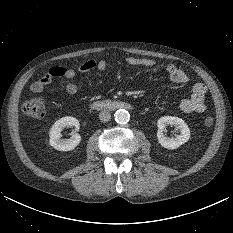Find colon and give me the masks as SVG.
Returning a JSON list of instances; mask_svg holds the SVG:
<instances>
[{
	"instance_id": "1",
	"label": "colon",
	"mask_w": 233,
	"mask_h": 233,
	"mask_svg": "<svg viewBox=\"0 0 233 233\" xmlns=\"http://www.w3.org/2000/svg\"><path fill=\"white\" fill-rule=\"evenodd\" d=\"M21 111L23 116L40 118L45 112V102L42 97L34 96L23 103ZM213 122L214 119L212 116H206L204 118V125L207 127L212 126Z\"/></svg>"
}]
</instances>
